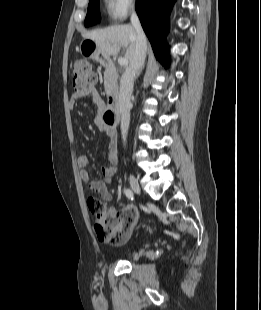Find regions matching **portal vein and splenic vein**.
I'll return each mask as SVG.
<instances>
[{
    "label": "portal vein and splenic vein",
    "mask_w": 261,
    "mask_h": 310,
    "mask_svg": "<svg viewBox=\"0 0 261 310\" xmlns=\"http://www.w3.org/2000/svg\"><path fill=\"white\" fill-rule=\"evenodd\" d=\"M118 64H119L120 66H127V65H128V60L125 59V58L120 57V58L118 59Z\"/></svg>",
    "instance_id": "18ae733b"
}]
</instances>
